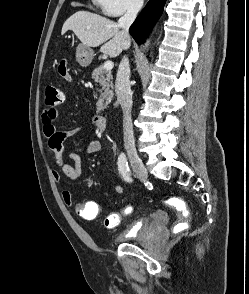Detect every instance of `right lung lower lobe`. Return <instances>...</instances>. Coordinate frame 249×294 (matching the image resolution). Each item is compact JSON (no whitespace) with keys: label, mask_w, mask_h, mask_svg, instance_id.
Listing matches in <instances>:
<instances>
[{"label":"right lung lower lobe","mask_w":249,"mask_h":294,"mask_svg":"<svg viewBox=\"0 0 249 294\" xmlns=\"http://www.w3.org/2000/svg\"><path fill=\"white\" fill-rule=\"evenodd\" d=\"M166 0H150L130 27V34L138 44L144 42L154 24L160 18Z\"/></svg>","instance_id":"right-lung-lower-lobe-1"}]
</instances>
